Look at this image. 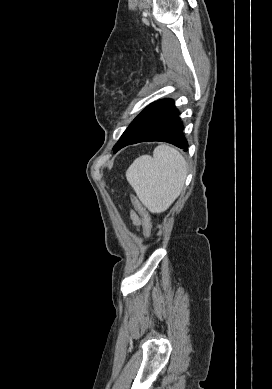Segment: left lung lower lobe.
I'll return each instance as SVG.
<instances>
[{
    "mask_svg": "<svg viewBox=\"0 0 272 389\" xmlns=\"http://www.w3.org/2000/svg\"><path fill=\"white\" fill-rule=\"evenodd\" d=\"M183 123L172 99H162L148 105L133 121L117 143L114 152L139 143L162 141L188 150Z\"/></svg>",
    "mask_w": 272,
    "mask_h": 389,
    "instance_id": "1",
    "label": "left lung lower lobe"
}]
</instances>
